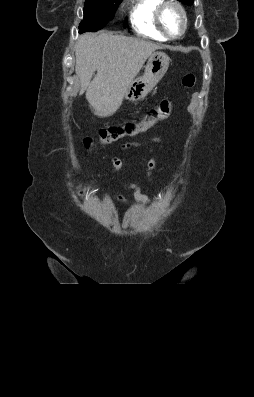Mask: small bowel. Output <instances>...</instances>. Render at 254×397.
Returning a JSON list of instances; mask_svg holds the SVG:
<instances>
[{
	"instance_id": "1",
	"label": "small bowel",
	"mask_w": 254,
	"mask_h": 397,
	"mask_svg": "<svg viewBox=\"0 0 254 397\" xmlns=\"http://www.w3.org/2000/svg\"><path fill=\"white\" fill-rule=\"evenodd\" d=\"M152 140L155 142L161 141V139L159 137H153ZM138 146H139V143L133 142V143L126 144L123 147L129 148V147H138ZM121 165H122L121 161L118 158H114L112 161L113 172H117L121 168ZM155 167H156V160H155V158H152L148 164V169L146 172V175H147L149 181H152V171L154 170ZM120 185L122 188H124L126 190L133 191L135 202L141 203L143 205H148L150 203V199L148 198L147 195H145L141 191L138 184L120 181ZM116 197L119 201H121L126 206H129L132 203L131 200L124 198L122 195H116Z\"/></svg>"
}]
</instances>
